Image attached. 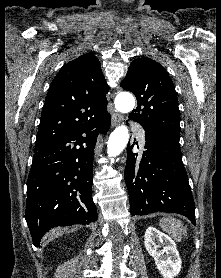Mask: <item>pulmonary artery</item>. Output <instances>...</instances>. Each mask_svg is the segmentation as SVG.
I'll return each instance as SVG.
<instances>
[{
  "mask_svg": "<svg viewBox=\"0 0 221 278\" xmlns=\"http://www.w3.org/2000/svg\"><path fill=\"white\" fill-rule=\"evenodd\" d=\"M132 127L137 131L138 140H139L140 144L143 146L145 143V137H144L143 131L135 123L132 124Z\"/></svg>",
  "mask_w": 221,
  "mask_h": 278,
  "instance_id": "obj_1",
  "label": "pulmonary artery"
}]
</instances>
